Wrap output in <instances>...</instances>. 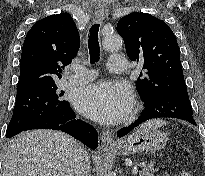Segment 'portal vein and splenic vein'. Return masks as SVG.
<instances>
[{
  "label": "portal vein and splenic vein",
  "instance_id": "obj_1",
  "mask_svg": "<svg viewBox=\"0 0 205 176\" xmlns=\"http://www.w3.org/2000/svg\"><path fill=\"white\" fill-rule=\"evenodd\" d=\"M132 173H133V174H137V173H138V167H137V166H134V167L132 168Z\"/></svg>",
  "mask_w": 205,
  "mask_h": 176
}]
</instances>
